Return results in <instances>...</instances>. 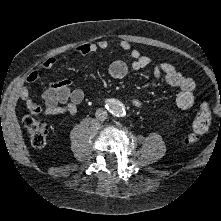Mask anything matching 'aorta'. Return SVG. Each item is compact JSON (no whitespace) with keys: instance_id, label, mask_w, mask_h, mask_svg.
I'll list each match as a JSON object with an SVG mask.
<instances>
[{"instance_id":"762f6f07","label":"aorta","mask_w":221,"mask_h":221,"mask_svg":"<svg viewBox=\"0 0 221 221\" xmlns=\"http://www.w3.org/2000/svg\"><path fill=\"white\" fill-rule=\"evenodd\" d=\"M110 111L112 114L117 115V116H121L124 113L123 108L120 105L115 104V103L110 105Z\"/></svg>"}]
</instances>
